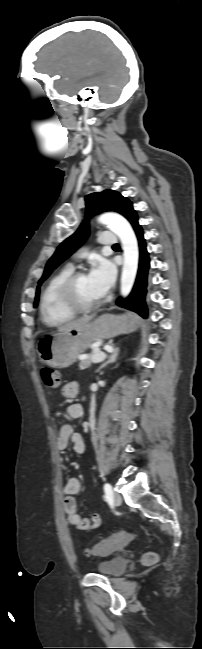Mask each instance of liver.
Listing matches in <instances>:
<instances>
[{"instance_id":"obj_1","label":"liver","mask_w":202,"mask_h":649,"mask_svg":"<svg viewBox=\"0 0 202 649\" xmlns=\"http://www.w3.org/2000/svg\"><path fill=\"white\" fill-rule=\"evenodd\" d=\"M92 319H93V316H88V317H82L80 319L67 322V323H65V324L58 327V332L69 331V330H72V329L81 328V327L89 324Z\"/></svg>"}]
</instances>
